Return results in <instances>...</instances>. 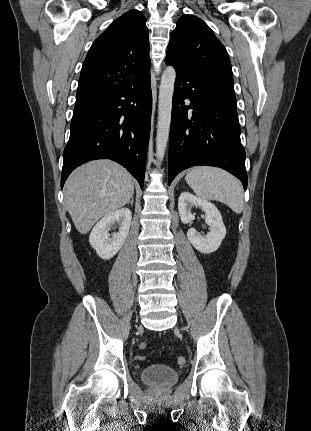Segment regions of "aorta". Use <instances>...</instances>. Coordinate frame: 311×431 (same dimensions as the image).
Wrapping results in <instances>:
<instances>
[{"mask_svg": "<svg viewBox=\"0 0 311 431\" xmlns=\"http://www.w3.org/2000/svg\"><path fill=\"white\" fill-rule=\"evenodd\" d=\"M176 72L173 66L165 68L159 88L158 122L156 136V158L162 162L167 142L169 140L172 112V98L174 92Z\"/></svg>", "mask_w": 311, "mask_h": 431, "instance_id": "1", "label": "aorta"}]
</instances>
